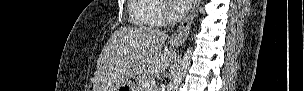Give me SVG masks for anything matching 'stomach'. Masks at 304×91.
Listing matches in <instances>:
<instances>
[{
    "label": "stomach",
    "mask_w": 304,
    "mask_h": 91,
    "mask_svg": "<svg viewBox=\"0 0 304 91\" xmlns=\"http://www.w3.org/2000/svg\"><path fill=\"white\" fill-rule=\"evenodd\" d=\"M134 91V88L132 86H130L129 84H124L122 86L119 87V89L117 91Z\"/></svg>",
    "instance_id": "obj_1"
}]
</instances>
